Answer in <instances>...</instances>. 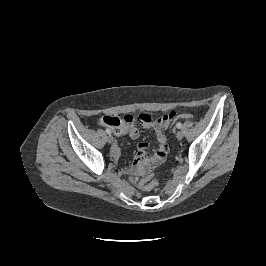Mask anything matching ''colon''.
Segmentation results:
<instances>
[{"label":"colon","instance_id":"1","mask_svg":"<svg viewBox=\"0 0 266 266\" xmlns=\"http://www.w3.org/2000/svg\"><path fill=\"white\" fill-rule=\"evenodd\" d=\"M192 117L193 115L190 113H181L177 116V118L183 119V120L191 119ZM139 185L141 189L145 191H150L158 186V181L155 179L154 175L149 174L141 179Z\"/></svg>","mask_w":266,"mask_h":266}]
</instances>
